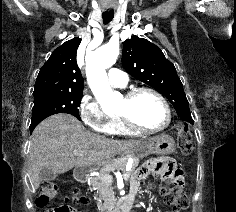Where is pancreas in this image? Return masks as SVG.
<instances>
[{"mask_svg":"<svg viewBox=\"0 0 236 212\" xmlns=\"http://www.w3.org/2000/svg\"><path fill=\"white\" fill-rule=\"evenodd\" d=\"M139 160L134 159L133 166L131 171H126V164L127 158H122L118 163L111 164L109 169H104L101 171L100 176L92 177L90 179V184L92 185L93 189L96 190L97 197V207L100 211L108 210L111 207L110 197L113 195L112 189L110 188V182H106L103 180L104 175H109L111 169H120L123 172V175H127V179L132 177L136 167L138 166Z\"/></svg>","mask_w":236,"mask_h":212,"instance_id":"1","label":"pancreas"}]
</instances>
